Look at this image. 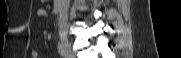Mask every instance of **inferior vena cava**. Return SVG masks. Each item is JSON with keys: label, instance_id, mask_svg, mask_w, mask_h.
Returning <instances> with one entry per match:
<instances>
[{"label": "inferior vena cava", "instance_id": "inferior-vena-cava-1", "mask_svg": "<svg viewBox=\"0 0 181 58\" xmlns=\"http://www.w3.org/2000/svg\"><path fill=\"white\" fill-rule=\"evenodd\" d=\"M64 1V10H63V14L61 16V27H60V31L63 30L64 24L66 22L67 19V10H68V6H69V2L70 0H63Z\"/></svg>", "mask_w": 181, "mask_h": 58}]
</instances>
